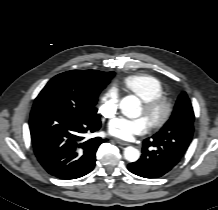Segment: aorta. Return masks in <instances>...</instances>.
<instances>
[{
	"instance_id": "obj_1",
	"label": "aorta",
	"mask_w": 218,
	"mask_h": 210,
	"mask_svg": "<svg viewBox=\"0 0 218 210\" xmlns=\"http://www.w3.org/2000/svg\"><path fill=\"white\" fill-rule=\"evenodd\" d=\"M139 107L140 100L133 95L126 96L120 101V109L122 113L129 118H136L139 116ZM139 157L140 152L138 149L132 146L125 148L124 158L128 162H135L139 159Z\"/></svg>"
}]
</instances>
